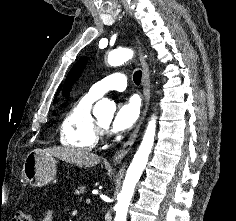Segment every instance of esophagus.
I'll list each match as a JSON object with an SVG mask.
<instances>
[{"mask_svg":"<svg viewBox=\"0 0 236 221\" xmlns=\"http://www.w3.org/2000/svg\"><path fill=\"white\" fill-rule=\"evenodd\" d=\"M136 41L138 43V52H139V58L143 69L142 74V86H143V99H144V108L142 110L140 119L138 121V124L134 131L131 133L129 139L125 142V144L116 152V154L113 156V162L118 163L123 160V158L127 155V153L132 148L133 144L136 141V138L138 136L139 130L141 125L144 122V119L146 117V113L148 110L149 105V99H150V92H151V82H150V73H149V66L146 62L145 56L142 52L141 46H140V40L137 36Z\"/></svg>","mask_w":236,"mask_h":221,"instance_id":"obj_1","label":"esophagus"}]
</instances>
